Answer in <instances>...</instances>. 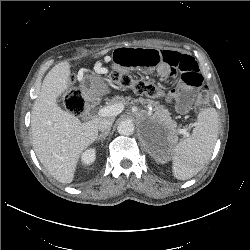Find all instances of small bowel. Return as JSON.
I'll return each instance as SVG.
<instances>
[{
	"mask_svg": "<svg viewBox=\"0 0 250 250\" xmlns=\"http://www.w3.org/2000/svg\"><path fill=\"white\" fill-rule=\"evenodd\" d=\"M115 68L140 72L145 75L157 73L161 79L177 77L180 96L176 110L188 111L196 89L202 86V76L195 59L173 51L139 47H120L112 55Z\"/></svg>",
	"mask_w": 250,
	"mask_h": 250,
	"instance_id": "c3829d8e",
	"label": "small bowel"
}]
</instances>
